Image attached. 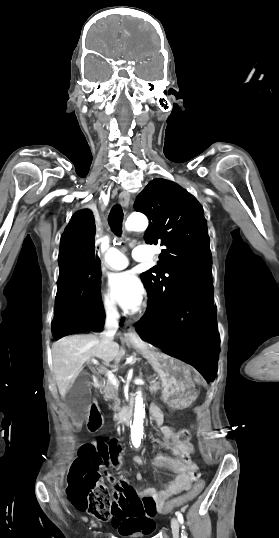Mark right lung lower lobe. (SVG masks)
Masks as SVG:
<instances>
[{
	"label": "right lung lower lobe",
	"mask_w": 279,
	"mask_h": 538,
	"mask_svg": "<svg viewBox=\"0 0 279 538\" xmlns=\"http://www.w3.org/2000/svg\"><path fill=\"white\" fill-rule=\"evenodd\" d=\"M95 222L92 212H77L60 240V267L52 334L63 336L97 331L105 314L100 294V261L95 255Z\"/></svg>",
	"instance_id": "obj_1"
}]
</instances>
